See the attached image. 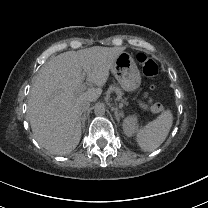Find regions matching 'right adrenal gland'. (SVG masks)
<instances>
[{
	"label": "right adrenal gland",
	"instance_id": "1",
	"mask_svg": "<svg viewBox=\"0 0 208 208\" xmlns=\"http://www.w3.org/2000/svg\"><path fill=\"white\" fill-rule=\"evenodd\" d=\"M81 121L83 123V127L85 126V113L83 114V117L81 118Z\"/></svg>",
	"mask_w": 208,
	"mask_h": 208
}]
</instances>
